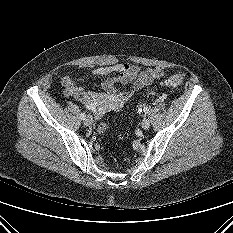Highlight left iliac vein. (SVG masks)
<instances>
[{"mask_svg":"<svg viewBox=\"0 0 233 233\" xmlns=\"http://www.w3.org/2000/svg\"><path fill=\"white\" fill-rule=\"evenodd\" d=\"M141 127L144 129V130H147L149 129L150 127V121L148 119H143L142 123H141Z\"/></svg>","mask_w":233,"mask_h":233,"instance_id":"left-iliac-vein-1","label":"left iliac vein"}]
</instances>
